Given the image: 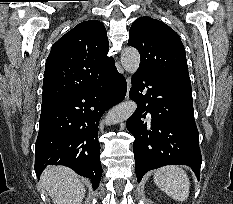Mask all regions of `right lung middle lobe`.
Segmentation results:
<instances>
[{
  "mask_svg": "<svg viewBox=\"0 0 233 204\" xmlns=\"http://www.w3.org/2000/svg\"><path fill=\"white\" fill-rule=\"evenodd\" d=\"M54 104H45V105H42V111H45L47 109H49L50 107H52Z\"/></svg>",
  "mask_w": 233,
  "mask_h": 204,
  "instance_id": "1",
  "label": "right lung middle lobe"
}]
</instances>
